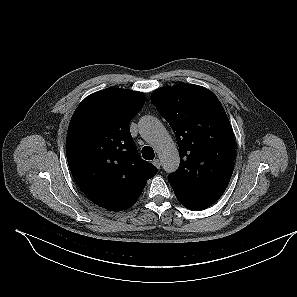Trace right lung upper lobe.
Instances as JSON below:
<instances>
[{
    "label": "right lung upper lobe",
    "mask_w": 297,
    "mask_h": 297,
    "mask_svg": "<svg viewBox=\"0 0 297 297\" xmlns=\"http://www.w3.org/2000/svg\"><path fill=\"white\" fill-rule=\"evenodd\" d=\"M144 103L142 92L106 88L79 104L68 127L73 178L93 203L110 211L130 208L157 173L139 156L129 129Z\"/></svg>",
    "instance_id": "1"
}]
</instances>
